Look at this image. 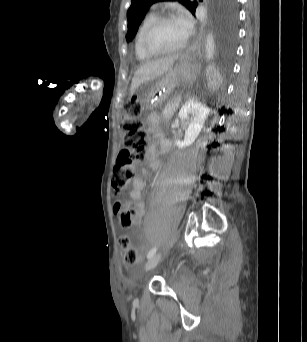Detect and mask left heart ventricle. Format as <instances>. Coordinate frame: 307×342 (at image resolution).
<instances>
[{"mask_svg": "<svg viewBox=\"0 0 307 342\" xmlns=\"http://www.w3.org/2000/svg\"><path fill=\"white\" fill-rule=\"evenodd\" d=\"M185 36L177 22H163L152 32L148 39L151 50L162 52L179 47Z\"/></svg>", "mask_w": 307, "mask_h": 342, "instance_id": "b2bd125f", "label": "left heart ventricle"}]
</instances>
